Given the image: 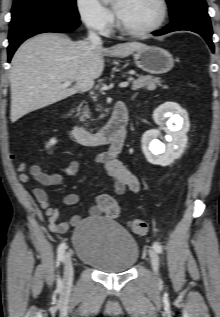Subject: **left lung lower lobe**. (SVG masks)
<instances>
[{"label":"left lung lower lobe","mask_w":220,"mask_h":317,"mask_svg":"<svg viewBox=\"0 0 220 317\" xmlns=\"http://www.w3.org/2000/svg\"><path fill=\"white\" fill-rule=\"evenodd\" d=\"M188 30L200 34L209 44L212 51V28L210 17L207 13V5H188L177 17L171 19V23L160 31L153 32L159 36L172 31Z\"/></svg>","instance_id":"1"}]
</instances>
